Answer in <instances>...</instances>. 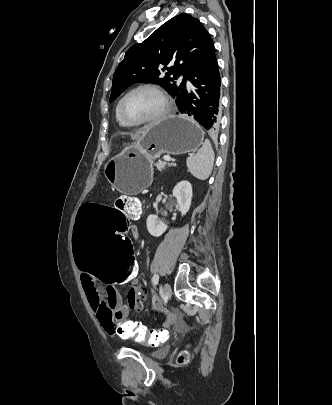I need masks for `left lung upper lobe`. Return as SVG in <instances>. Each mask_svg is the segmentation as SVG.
<instances>
[{
  "mask_svg": "<svg viewBox=\"0 0 332 405\" xmlns=\"http://www.w3.org/2000/svg\"><path fill=\"white\" fill-rule=\"evenodd\" d=\"M212 45L209 33L198 19L186 13L173 17L126 52L114 73L109 101L137 82L162 84L177 100L186 93V80ZM164 70H168L165 76ZM182 74L180 85L172 83Z\"/></svg>",
  "mask_w": 332,
  "mask_h": 405,
  "instance_id": "5c2ea615",
  "label": "left lung upper lobe"
}]
</instances>
